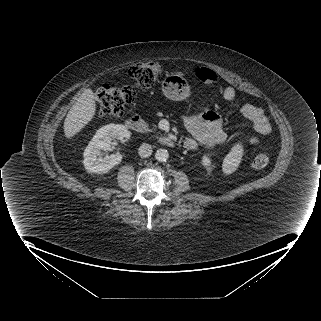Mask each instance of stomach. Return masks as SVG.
Returning a JSON list of instances; mask_svg holds the SVG:
<instances>
[{
	"label": "stomach",
	"mask_w": 321,
	"mask_h": 321,
	"mask_svg": "<svg viewBox=\"0 0 321 321\" xmlns=\"http://www.w3.org/2000/svg\"><path fill=\"white\" fill-rule=\"evenodd\" d=\"M161 86L163 94L170 100L181 101L190 96L188 82L179 73L167 74Z\"/></svg>",
	"instance_id": "1"
}]
</instances>
